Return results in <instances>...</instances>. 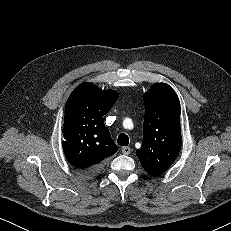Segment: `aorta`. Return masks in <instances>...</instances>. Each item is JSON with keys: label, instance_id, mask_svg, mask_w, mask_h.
I'll list each match as a JSON object with an SVG mask.
<instances>
[{"label": "aorta", "instance_id": "762f6f07", "mask_svg": "<svg viewBox=\"0 0 231 231\" xmlns=\"http://www.w3.org/2000/svg\"><path fill=\"white\" fill-rule=\"evenodd\" d=\"M126 122H131V120H130V119H125L124 124H125Z\"/></svg>", "mask_w": 231, "mask_h": 231}]
</instances>
